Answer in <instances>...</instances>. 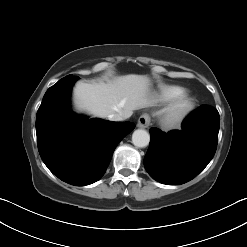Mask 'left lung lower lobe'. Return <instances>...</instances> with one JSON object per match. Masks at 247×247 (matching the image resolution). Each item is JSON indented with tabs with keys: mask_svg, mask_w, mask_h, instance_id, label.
<instances>
[{
	"mask_svg": "<svg viewBox=\"0 0 247 247\" xmlns=\"http://www.w3.org/2000/svg\"><path fill=\"white\" fill-rule=\"evenodd\" d=\"M181 128L168 133L150 129L144 166L160 183L180 185L192 180L215 154L219 132V113L215 108L200 106L185 118Z\"/></svg>",
	"mask_w": 247,
	"mask_h": 247,
	"instance_id": "1",
	"label": "left lung lower lobe"
}]
</instances>
